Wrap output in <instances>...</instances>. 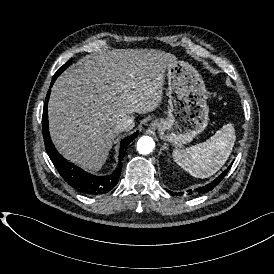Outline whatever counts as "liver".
I'll return each instance as SVG.
<instances>
[{"mask_svg": "<svg viewBox=\"0 0 274 274\" xmlns=\"http://www.w3.org/2000/svg\"><path fill=\"white\" fill-rule=\"evenodd\" d=\"M176 57L155 49H112L86 55L56 80L48 103L57 150L88 172L105 164L117 120L154 111L164 72Z\"/></svg>", "mask_w": 274, "mask_h": 274, "instance_id": "6515ba94", "label": "liver"}]
</instances>
